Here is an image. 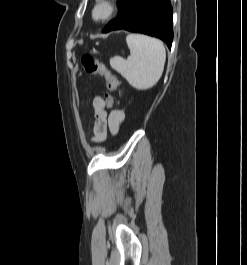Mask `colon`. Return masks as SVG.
I'll return each mask as SVG.
<instances>
[{
	"label": "colon",
	"mask_w": 247,
	"mask_h": 265,
	"mask_svg": "<svg viewBox=\"0 0 247 265\" xmlns=\"http://www.w3.org/2000/svg\"><path fill=\"white\" fill-rule=\"evenodd\" d=\"M81 62L87 73L101 76L107 81L108 91L104 93L103 99L108 108L113 106V93L119 87L118 79L105 67V65L88 54L82 56Z\"/></svg>",
	"instance_id": "obj_1"
}]
</instances>
